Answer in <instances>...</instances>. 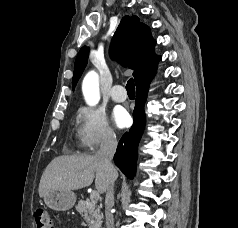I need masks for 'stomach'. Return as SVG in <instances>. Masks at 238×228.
Returning a JSON list of instances; mask_svg holds the SVG:
<instances>
[{"mask_svg": "<svg viewBox=\"0 0 238 228\" xmlns=\"http://www.w3.org/2000/svg\"><path fill=\"white\" fill-rule=\"evenodd\" d=\"M43 198L45 204L56 211L69 210L76 202V196L73 191L59 189L49 190Z\"/></svg>", "mask_w": 238, "mask_h": 228, "instance_id": "0dacf381", "label": "stomach"}]
</instances>
